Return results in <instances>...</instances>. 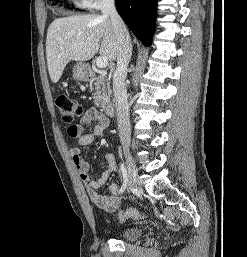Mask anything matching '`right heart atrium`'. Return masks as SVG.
I'll return each instance as SVG.
<instances>
[{"mask_svg":"<svg viewBox=\"0 0 247 257\" xmlns=\"http://www.w3.org/2000/svg\"><path fill=\"white\" fill-rule=\"evenodd\" d=\"M78 5L87 9V10H95L98 9L103 3L107 0H75Z\"/></svg>","mask_w":247,"mask_h":257,"instance_id":"right-heart-atrium-1","label":"right heart atrium"}]
</instances>
